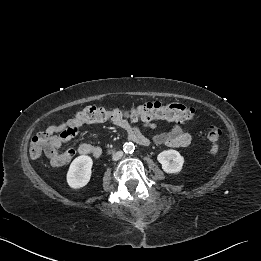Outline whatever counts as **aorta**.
Wrapping results in <instances>:
<instances>
[{
  "mask_svg": "<svg viewBox=\"0 0 261 261\" xmlns=\"http://www.w3.org/2000/svg\"><path fill=\"white\" fill-rule=\"evenodd\" d=\"M123 150L125 153L132 154L135 150V145L132 142H127L124 144Z\"/></svg>",
  "mask_w": 261,
  "mask_h": 261,
  "instance_id": "1",
  "label": "aorta"
}]
</instances>
